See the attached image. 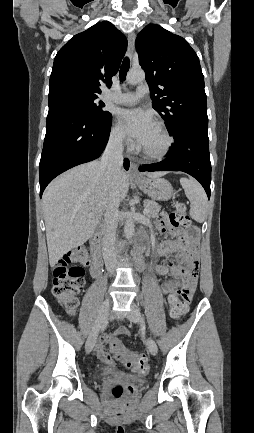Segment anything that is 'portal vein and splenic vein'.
<instances>
[{
  "instance_id": "obj_1",
  "label": "portal vein and splenic vein",
  "mask_w": 254,
  "mask_h": 433,
  "mask_svg": "<svg viewBox=\"0 0 254 433\" xmlns=\"http://www.w3.org/2000/svg\"><path fill=\"white\" fill-rule=\"evenodd\" d=\"M148 212H149V209H148L147 207H145V209H144V211H143V214H144V215H147Z\"/></svg>"
}]
</instances>
